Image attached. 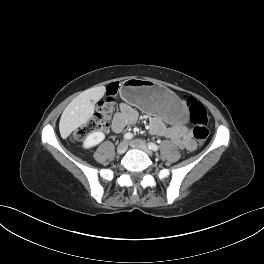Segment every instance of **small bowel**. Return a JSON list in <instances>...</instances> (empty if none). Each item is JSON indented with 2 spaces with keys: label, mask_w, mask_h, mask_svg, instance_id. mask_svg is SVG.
I'll use <instances>...</instances> for the list:
<instances>
[{
  "label": "small bowel",
  "mask_w": 264,
  "mask_h": 264,
  "mask_svg": "<svg viewBox=\"0 0 264 264\" xmlns=\"http://www.w3.org/2000/svg\"><path fill=\"white\" fill-rule=\"evenodd\" d=\"M138 119V112L129 106L122 103L119 112L115 115L112 127L115 131H121L127 123H134ZM150 131L154 136L165 137L170 139L180 148L193 150L195 142L192 139L190 129L182 124L166 125L159 116H154L150 122Z\"/></svg>",
  "instance_id": "small-bowel-1"
}]
</instances>
